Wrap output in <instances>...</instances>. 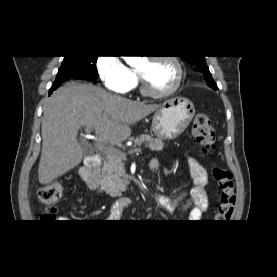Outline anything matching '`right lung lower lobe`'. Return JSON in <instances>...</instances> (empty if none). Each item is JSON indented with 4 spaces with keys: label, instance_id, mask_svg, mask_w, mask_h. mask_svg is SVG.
<instances>
[{
    "label": "right lung lower lobe",
    "instance_id": "obj_1",
    "mask_svg": "<svg viewBox=\"0 0 277 277\" xmlns=\"http://www.w3.org/2000/svg\"><path fill=\"white\" fill-rule=\"evenodd\" d=\"M70 79H86L89 80V78L84 77L82 75H78V74H73V73H62V74H58L55 82L53 84V88L50 90V93L53 92L54 89H56L61 83L68 81ZM95 82V81H94Z\"/></svg>",
    "mask_w": 277,
    "mask_h": 277
}]
</instances>
